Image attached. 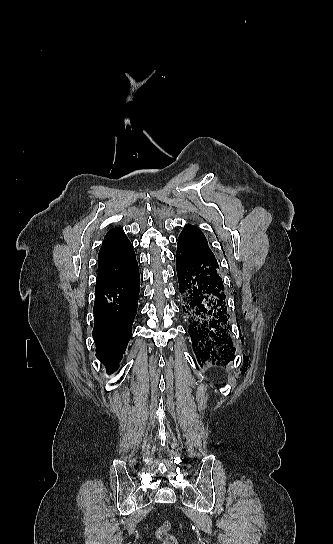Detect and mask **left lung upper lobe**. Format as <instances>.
Wrapping results in <instances>:
<instances>
[{
    "label": "left lung upper lobe",
    "instance_id": "1",
    "mask_svg": "<svg viewBox=\"0 0 333 544\" xmlns=\"http://www.w3.org/2000/svg\"><path fill=\"white\" fill-rule=\"evenodd\" d=\"M177 248H184L194 253L202 261L219 268L218 262L208 246L204 234L196 227L187 224L178 237Z\"/></svg>",
    "mask_w": 333,
    "mask_h": 544
}]
</instances>
